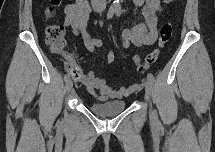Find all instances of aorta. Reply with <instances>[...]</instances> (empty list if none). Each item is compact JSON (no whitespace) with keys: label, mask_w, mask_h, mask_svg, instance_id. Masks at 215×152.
<instances>
[{"label":"aorta","mask_w":215,"mask_h":152,"mask_svg":"<svg viewBox=\"0 0 215 152\" xmlns=\"http://www.w3.org/2000/svg\"><path fill=\"white\" fill-rule=\"evenodd\" d=\"M113 8H119L120 7V1L119 0H114L112 4Z\"/></svg>","instance_id":"1"}]
</instances>
